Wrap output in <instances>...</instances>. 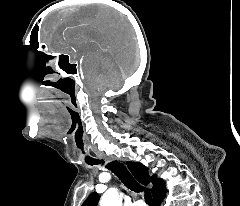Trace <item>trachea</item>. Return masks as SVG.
I'll list each match as a JSON object with an SVG mask.
<instances>
[{"label":"trachea","mask_w":240,"mask_h":206,"mask_svg":"<svg viewBox=\"0 0 240 206\" xmlns=\"http://www.w3.org/2000/svg\"><path fill=\"white\" fill-rule=\"evenodd\" d=\"M101 161L96 160L93 162H89L90 165L98 164ZM109 170H111L121 181L122 183L131 191L134 192H142L145 191V201L149 206H154L152 196L148 190H146L143 186H141L134 177L130 174L127 168L118 161H112L106 166Z\"/></svg>","instance_id":"trachea-1"}]
</instances>
